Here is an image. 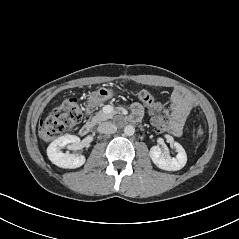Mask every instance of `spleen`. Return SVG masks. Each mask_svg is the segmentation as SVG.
Listing matches in <instances>:
<instances>
[{"mask_svg": "<svg viewBox=\"0 0 239 239\" xmlns=\"http://www.w3.org/2000/svg\"><path fill=\"white\" fill-rule=\"evenodd\" d=\"M198 135H202L203 134V130L201 129V127L198 129Z\"/></svg>", "mask_w": 239, "mask_h": 239, "instance_id": "spleen-1", "label": "spleen"}]
</instances>
